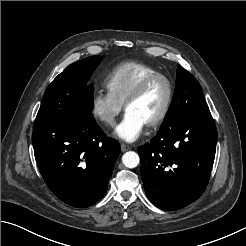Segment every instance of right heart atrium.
Segmentation results:
<instances>
[{"mask_svg": "<svg viewBox=\"0 0 246 246\" xmlns=\"http://www.w3.org/2000/svg\"><path fill=\"white\" fill-rule=\"evenodd\" d=\"M122 106L109 92L97 91L91 99V114L98 122L112 127Z\"/></svg>", "mask_w": 246, "mask_h": 246, "instance_id": "obj_1", "label": "right heart atrium"}]
</instances>
